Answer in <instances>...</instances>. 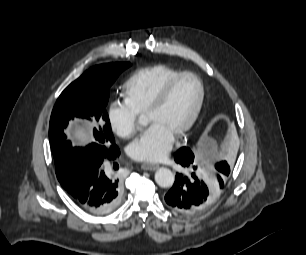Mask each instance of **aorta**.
<instances>
[{"label":"aorta","mask_w":306,"mask_h":255,"mask_svg":"<svg viewBox=\"0 0 306 255\" xmlns=\"http://www.w3.org/2000/svg\"><path fill=\"white\" fill-rule=\"evenodd\" d=\"M174 179V174L168 168H159L155 173V182L162 188L171 187Z\"/></svg>","instance_id":"762f6f07"}]
</instances>
